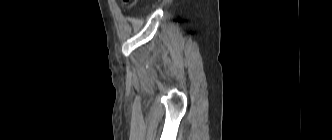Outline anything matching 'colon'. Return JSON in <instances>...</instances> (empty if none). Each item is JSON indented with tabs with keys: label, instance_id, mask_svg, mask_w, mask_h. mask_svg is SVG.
Instances as JSON below:
<instances>
[{
	"label": "colon",
	"instance_id": "obj_1",
	"mask_svg": "<svg viewBox=\"0 0 332 140\" xmlns=\"http://www.w3.org/2000/svg\"><path fill=\"white\" fill-rule=\"evenodd\" d=\"M138 0H121V2L128 4V3H136Z\"/></svg>",
	"mask_w": 332,
	"mask_h": 140
}]
</instances>
